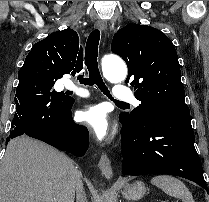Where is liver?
Instances as JSON below:
<instances>
[{"instance_id":"obj_1","label":"liver","mask_w":209,"mask_h":202,"mask_svg":"<svg viewBox=\"0 0 209 202\" xmlns=\"http://www.w3.org/2000/svg\"><path fill=\"white\" fill-rule=\"evenodd\" d=\"M79 176L64 153L17 137L8 144L0 164V202H74Z\"/></svg>"}]
</instances>
